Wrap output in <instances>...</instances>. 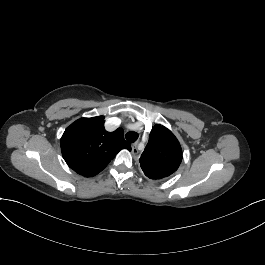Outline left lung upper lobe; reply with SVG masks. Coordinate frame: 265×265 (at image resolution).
<instances>
[{"label": "left lung upper lobe", "mask_w": 265, "mask_h": 265, "mask_svg": "<svg viewBox=\"0 0 265 265\" xmlns=\"http://www.w3.org/2000/svg\"><path fill=\"white\" fill-rule=\"evenodd\" d=\"M182 161V149L174 134L156 124L139 159L141 169L150 179H162L174 173Z\"/></svg>", "instance_id": "1"}]
</instances>
